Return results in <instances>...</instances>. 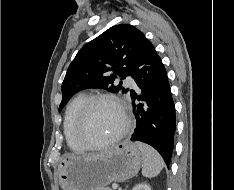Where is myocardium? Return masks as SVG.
Listing matches in <instances>:
<instances>
[{
  "instance_id": "obj_1",
  "label": "myocardium",
  "mask_w": 234,
  "mask_h": 190,
  "mask_svg": "<svg viewBox=\"0 0 234 190\" xmlns=\"http://www.w3.org/2000/svg\"><path fill=\"white\" fill-rule=\"evenodd\" d=\"M99 101H108L113 103L121 112V115L123 117V126L122 128L110 139L101 142V143H93L85 134V125H86V121H87V117L89 114V111L91 109V107ZM131 118L128 112L127 107L125 106V104L116 96L112 95V94H107V93H101V94H95V95H91L88 96L87 99L85 100V102L83 103L78 117H77V121H76V128H75V132H76V136L78 138V140L86 147L89 149H100V148H104L107 146H110L114 143H116L117 141H119L120 139H122L130 130L131 128Z\"/></svg>"
}]
</instances>
